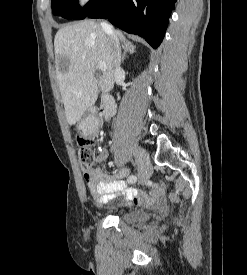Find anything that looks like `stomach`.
Here are the masks:
<instances>
[{"label":"stomach","instance_id":"1","mask_svg":"<svg viewBox=\"0 0 247 275\" xmlns=\"http://www.w3.org/2000/svg\"><path fill=\"white\" fill-rule=\"evenodd\" d=\"M78 130L82 131V132H86L87 131V126L84 122L79 123L78 125Z\"/></svg>","mask_w":247,"mask_h":275}]
</instances>
